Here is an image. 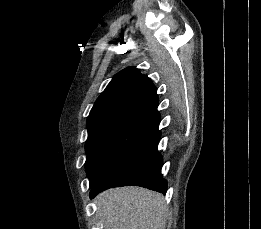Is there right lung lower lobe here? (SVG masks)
Masks as SVG:
<instances>
[{
	"label": "right lung lower lobe",
	"mask_w": 261,
	"mask_h": 229,
	"mask_svg": "<svg viewBox=\"0 0 261 229\" xmlns=\"http://www.w3.org/2000/svg\"><path fill=\"white\" fill-rule=\"evenodd\" d=\"M160 133L146 140L130 154L114 162L90 187L91 198L99 192L116 186H141L165 193L166 180L162 178V157L158 153Z\"/></svg>",
	"instance_id": "right-lung-lower-lobe-1"
}]
</instances>
